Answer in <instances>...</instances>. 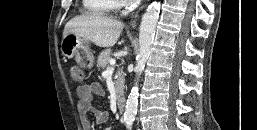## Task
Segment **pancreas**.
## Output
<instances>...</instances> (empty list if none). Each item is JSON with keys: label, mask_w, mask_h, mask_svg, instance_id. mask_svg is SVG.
Returning a JSON list of instances; mask_svg holds the SVG:
<instances>
[{"label": "pancreas", "mask_w": 257, "mask_h": 130, "mask_svg": "<svg viewBox=\"0 0 257 130\" xmlns=\"http://www.w3.org/2000/svg\"><path fill=\"white\" fill-rule=\"evenodd\" d=\"M112 58V51L110 49L104 50L100 53L98 60H97V66L102 69L109 68V63ZM115 89L117 95H119L123 91L124 86V76L122 69L119 70L115 75Z\"/></svg>", "instance_id": "1"}]
</instances>
